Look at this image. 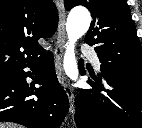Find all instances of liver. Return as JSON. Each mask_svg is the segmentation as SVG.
<instances>
[{"mask_svg":"<svg viewBox=\"0 0 142 128\" xmlns=\"http://www.w3.org/2000/svg\"><path fill=\"white\" fill-rule=\"evenodd\" d=\"M0 128H21V126L15 124L0 123Z\"/></svg>","mask_w":142,"mask_h":128,"instance_id":"6515ba94","label":"liver"}]
</instances>
